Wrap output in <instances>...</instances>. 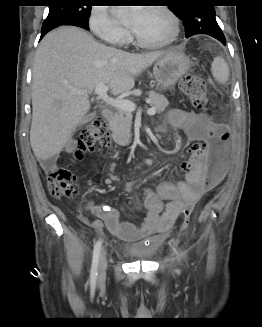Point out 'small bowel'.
Instances as JSON below:
<instances>
[{"instance_id":"c3829d8e","label":"small bowel","mask_w":262,"mask_h":327,"mask_svg":"<svg viewBox=\"0 0 262 327\" xmlns=\"http://www.w3.org/2000/svg\"><path fill=\"white\" fill-rule=\"evenodd\" d=\"M168 122L170 125L182 129L193 141L209 143L212 135H217L215 125L205 113H197L175 109L171 111ZM164 126L158 128L164 131ZM75 141H70L66 147L71 151ZM207 153H187V159H174L177 170H183L187 175L185 180L179 182L164 181L156 189L145 192L142 207L145 217L140 225L128 221H121L118 211L108 205H96L92 201L85 203V209L94 213L97 219L90 220L81 216L82 221L96 232L100 233L104 227L121 240L133 241L153 233L168 231L176 218L182 214L183 206L187 200L196 203L208 189L204 184L206 168L198 164V160H207ZM132 189V184L127 183L126 191Z\"/></svg>"}]
</instances>
